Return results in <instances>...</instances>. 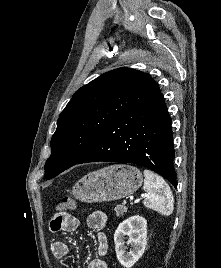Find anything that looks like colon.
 Here are the masks:
<instances>
[{
	"label": "colon",
	"instance_id": "colon-1",
	"mask_svg": "<svg viewBox=\"0 0 221 268\" xmlns=\"http://www.w3.org/2000/svg\"><path fill=\"white\" fill-rule=\"evenodd\" d=\"M76 207V201L71 197H64L57 204V214L65 213L67 210L74 209Z\"/></svg>",
	"mask_w": 221,
	"mask_h": 268
}]
</instances>
